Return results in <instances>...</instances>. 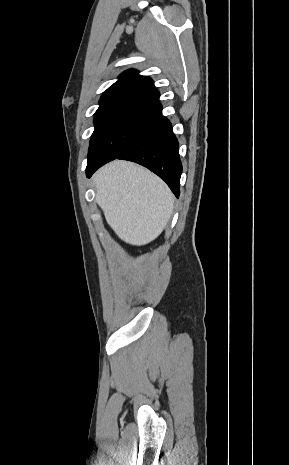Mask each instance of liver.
I'll use <instances>...</instances> for the list:
<instances>
[{"mask_svg":"<svg viewBox=\"0 0 289 465\" xmlns=\"http://www.w3.org/2000/svg\"><path fill=\"white\" fill-rule=\"evenodd\" d=\"M95 200L117 236L141 246L156 239L169 222L174 196L148 169L115 160L93 176Z\"/></svg>","mask_w":289,"mask_h":465,"instance_id":"6515ba94","label":"liver"}]
</instances>
